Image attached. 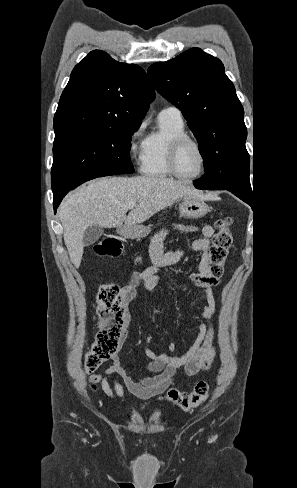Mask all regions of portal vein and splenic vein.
Listing matches in <instances>:
<instances>
[{
    "mask_svg": "<svg viewBox=\"0 0 297 488\" xmlns=\"http://www.w3.org/2000/svg\"><path fill=\"white\" fill-rule=\"evenodd\" d=\"M135 206H136L135 202H130V203H128V204H126V205H124V208H125L126 210H128V209H132V208H134Z\"/></svg>",
    "mask_w": 297,
    "mask_h": 488,
    "instance_id": "portal-vein-and-splenic-vein-1",
    "label": "portal vein and splenic vein"
}]
</instances>
